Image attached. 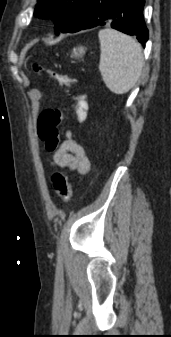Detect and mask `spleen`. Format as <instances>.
Returning <instances> with one entry per match:
<instances>
[{
    "label": "spleen",
    "instance_id": "3e777b00",
    "mask_svg": "<svg viewBox=\"0 0 171 337\" xmlns=\"http://www.w3.org/2000/svg\"><path fill=\"white\" fill-rule=\"evenodd\" d=\"M100 42V63L104 83L118 95L127 93L138 81L144 58L139 43L133 38L111 28L98 34Z\"/></svg>",
    "mask_w": 171,
    "mask_h": 337
}]
</instances>
